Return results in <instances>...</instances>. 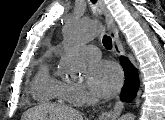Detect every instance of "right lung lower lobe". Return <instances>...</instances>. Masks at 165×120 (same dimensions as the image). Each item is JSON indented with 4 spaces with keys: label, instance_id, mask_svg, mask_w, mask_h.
<instances>
[{
    "label": "right lung lower lobe",
    "instance_id": "1",
    "mask_svg": "<svg viewBox=\"0 0 165 120\" xmlns=\"http://www.w3.org/2000/svg\"><path fill=\"white\" fill-rule=\"evenodd\" d=\"M125 73V83L121 91V100L130 102L134 99L139 88V76L136 68L125 57H120Z\"/></svg>",
    "mask_w": 165,
    "mask_h": 120
}]
</instances>
